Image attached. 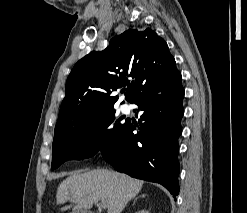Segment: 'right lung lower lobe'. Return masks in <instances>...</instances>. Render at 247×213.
<instances>
[{
	"instance_id": "1",
	"label": "right lung lower lobe",
	"mask_w": 247,
	"mask_h": 213,
	"mask_svg": "<svg viewBox=\"0 0 247 213\" xmlns=\"http://www.w3.org/2000/svg\"><path fill=\"white\" fill-rule=\"evenodd\" d=\"M183 97L181 74L173 67L130 100L141 113L139 125L126 120L113 148L101 152L118 172L159 183L174 199L179 193L177 155ZM136 129L139 132L134 134Z\"/></svg>"
}]
</instances>
